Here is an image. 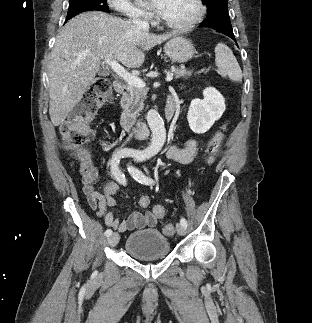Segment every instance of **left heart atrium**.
Instances as JSON below:
<instances>
[{"mask_svg": "<svg viewBox=\"0 0 312 323\" xmlns=\"http://www.w3.org/2000/svg\"><path fill=\"white\" fill-rule=\"evenodd\" d=\"M161 7V0H147V8H160ZM163 11L167 10L166 6L162 7Z\"/></svg>", "mask_w": 312, "mask_h": 323, "instance_id": "left-heart-atrium-1", "label": "left heart atrium"}]
</instances>
